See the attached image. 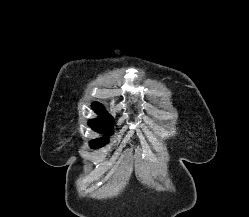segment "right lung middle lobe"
<instances>
[{"label":"right lung middle lobe","instance_id":"right-lung-middle-lobe-1","mask_svg":"<svg viewBox=\"0 0 249 217\" xmlns=\"http://www.w3.org/2000/svg\"><path fill=\"white\" fill-rule=\"evenodd\" d=\"M89 125L92 129L96 130L97 132L110 134L112 133V119L101 117L98 119L90 120ZM108 143V140L105 138L102 139H95L90 142V146L92 148H99L103 147L105 144Z\"/></svg>","mask_w":249,"mask_h":217}]
</instances>
